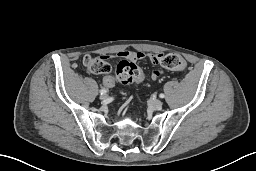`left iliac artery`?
I'll return each instance as SVG.
<instances>
[{
	"label": "left iliac artery",
	"instance_id": "44dca946",
	"mask_svg": "<svg viewBox=\"0 0 256 171\" xmlns=\"http://www.w3.org/2000/svg\"><path fill=\"white\" fill-rule=\"evenodd\" d=\"M159 97H160V98H164L165 95H164L163 93H161V94L159 95Z\"/></svg>",
	"mask_w": 256,
	"mask_h": 171
}]
</instances>
